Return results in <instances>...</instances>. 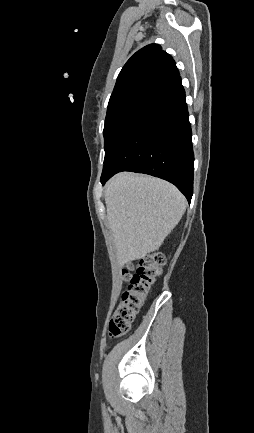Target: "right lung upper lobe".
<instances>
[{
	"mask_svg": "<svg viewBox=\"0 0 254 433\" xmlns=\"http://www.w3.org/2000/svg\"><path fill=\"white\" fill-rule=\"evenodd\" d=\"M179 76L172 57L158 44L137 51L118 75L108 107L126 101H147Z\"/></svg>",
	"mask_w": 254,
	"mask_h": 433,
	"instance_id": "cb5924a9",
	"label": "right lung upper lobe"
}]
</instances>
